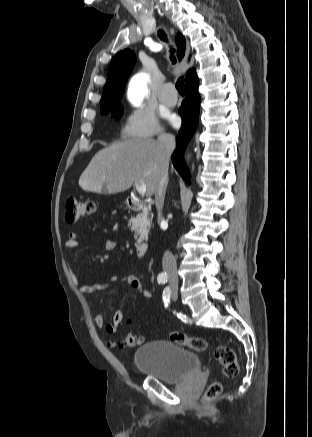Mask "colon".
I'll return each instance as SVG.
<instances>
[{"label": "colon", "instance_id": "colon-1", "mask_svg": "<svg viewBox=\"0 0 312 437\" xmlns=\"http://www.w3.org/2000/svg\"><path fill=\"white\" fill-rule=\"evenodd\" d=\"M96 211V204L92 200H81L77 198H69L66 201L65 219L68 223H75L78 220L93 214ZM170 341L189 347L197 352H203L207 349V342L198 337L187 336L186 334L171 331L168 333ZM140 339L131 332L125 334L123 344L128 347H136L140 344ZM214 358L223 368V373L226 377L233 378L239 372V364L235 352L232 348L219 345L214 349ZM222 392V384L220 382L212 383L206 392L207 399H214Z\"/></svg>", "mask_w": 312, "mask_h": 437}]
</instances>
